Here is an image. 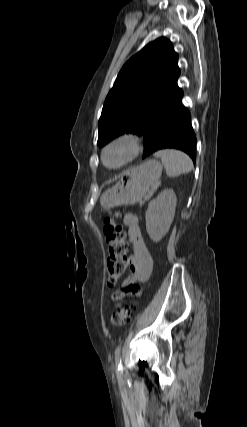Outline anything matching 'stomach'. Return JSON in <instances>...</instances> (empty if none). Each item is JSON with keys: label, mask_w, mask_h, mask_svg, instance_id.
<instances>
[{"label": "stomach", "mask_w": 247, "mask_h": 427, "mask_svg": "<svg viewBox=\"0 0 247 427\" xmlns=\"http://www.w3.org/2000/svg\"><path fill=\"white\" fill-rule=\"evenodd\" d=\"M161 174L162 166L155 159L124 171L117 184L102 194L101 207L109 209L141 202Z\"/></svg>", "instance_id": "obj_1"}]
</instances>
